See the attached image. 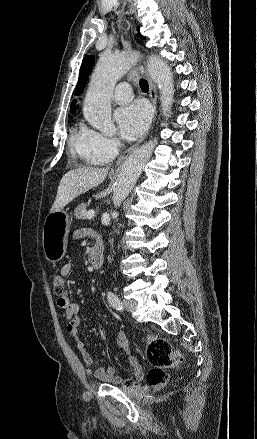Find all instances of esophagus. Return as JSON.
I'll list each match as a JSON object with an SVG mask.
<instances>
[{
	"label": "esophagus",
	"instance_id": "34e87169",
	"mask_svg": "<svg viewBox=\"0 0 257 439\" xmlns=\"http://www.w3.org/2000/svg\"><path fill=\"white\" fill-rule=\"evenodd\" d=\"M144 72L146 74L148 84H149V96L151 99V102L153 104L154 112L156 113V102H157V90L154 82L152 81L151 77L148 74L147 68L145 67ZM144 140V137H142L140 140H138L137 143H135L133 146H131L128 150H126L116 161V165L120 166L127 157L132 153V151L139 146V144Z\"/></svg>",
	"mask_w": 257,
	"mask_h": 439
}]
</instances>
